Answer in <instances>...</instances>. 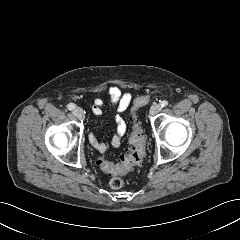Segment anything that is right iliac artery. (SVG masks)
I'll return each mask as SVG.
<instances>
[{
    "instance_id": "right-iliac-artery-1",
    "label": "right iliac artery",
    "mask_w": 240,
    "mask_h": 240,
    "mask_svg": "<svg viewBox=\"0 0 240 240\" xmlns=\"http://www.w3.org/2000/svg\"><path fill=\"white\" fill-rule=\"evenodd\" d=\"M67 108H68L69 110H74V109H75V105L72 104V103H70V104L67 105Z\"/></svg>"
}]
</instances>
